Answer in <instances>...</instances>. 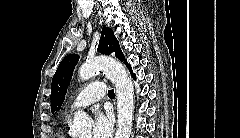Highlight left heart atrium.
Wrapping results in <instances>:
<instances>
[{"label": "left heart atrium", "mask_w": 240, "mask_h": 138, "mask_svg": "<svg viewBox=\"0 0 240 138\" xmlns=\"http://www.w3.org/2000/svg\"><path fill=\"white\" fill-rule=\"evenodd\" d=\"M113 130V121L109 114L97 111L93 123V138H109Z\"/></svg>", "instance_id": "obj_1"}]
</instances>
